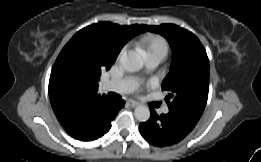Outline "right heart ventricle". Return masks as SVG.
I'll return each instance as SVG.
<instances>
[{
  "label": "right heart ventricle",
  "mask_w": 261,
  "mask_h": 162,
  "mask_svg": "<svg viewBox=\"0 0 261 162\" xmlns=\"http://www.w3.org/2000/svg\"><path fill=\"white\" fill-rule=\"evenodd\" d=\"M141 44L144 46L147 57L153 54H159L165 57L169 51L167 40L156 34H147L141 38Z\"/></svg>",
  "instance_id": "right-heart-ventricle-1"
}]
</instances>
